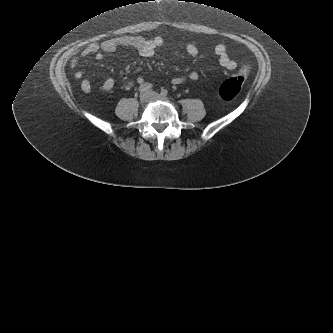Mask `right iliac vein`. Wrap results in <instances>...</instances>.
I'll return each instance as SVG.
<instances>
[{
  "instance_id": "right-iliac-vein-1",
  "label": "right iliac vein",
  "mask_w": 333,
  "mask_h": 333,
  "mask_svg": "<svg viewBox=\"0 0 333 333\" xmlns=\"http://www.w3.org/2000/svg\"><path fill=\"white\" fill-rule=\"evenodd\" d=\"M151 98H152V95L148 91H145V92L141 93V95H140V100L144 103L149 102L151 100Z\"/></svg>"
}]
</instances>
